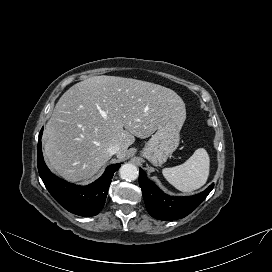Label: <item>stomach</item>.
Wrapping results in <instances>:
<instances>
[{
	"label": "stomach",
	"mask_w": 272,
	"mask_h": 272,
	"mask_svg": "<svg viewBox=\"0 0 272 272\" xmlns=\"http://www.w3.org/2000/svg\"><path fill=\"white\" fill-rule=\"evenodd\" d=\"M181 127L172 119L161 124L152 135L141 154L154 166H160L177 149Z\"/></svg>",
	"instance_id": "0dacf381"
}]
</instances>
